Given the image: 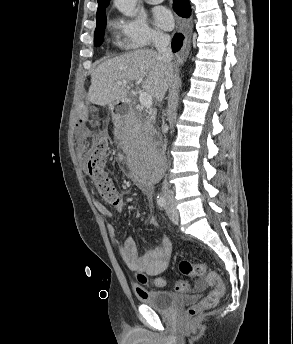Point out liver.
<instances>
[{
    "instance_id": "obj_1",
    "label": "liver",
    "mask_w": 293,
    "mask_h": 344,
    "mask_svg": "<svg viewBox=\"0 0 293 344\" xmlns=\"http://www.w3.org/2000/svg\"><path fill=\"white\" fill-rule=\"evenodd\" d=\"M173 79V68L168 69L156 51L138 49L101 63L91 74L87 99L99 106L124 101L131 87L117 82L126 80L143 82V90L162 101Z\"/></svg>"
}]
</instances>
